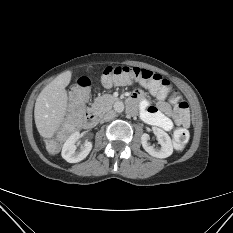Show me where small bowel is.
<instances>
[{
  "mask_svg": "<svg viewBox=\"0 0 233 233\" xmlns=\"http://www.w3.org/2000/svg\"><path fill=\"white\" fill-rule=\"evenodd\" d=\"M135 99L139 101L140 115L146 123L165 131L173 129L174 124L170 118L171 107L168 103L160 99L156 106H153L140 94H137Z\"/></svg>",
  "mask_w": 233,
  "mask_h": 233,
  "instance_id": "obj_1",
  "label": "small bowel"
}]
</instances>
